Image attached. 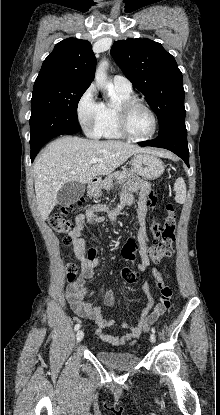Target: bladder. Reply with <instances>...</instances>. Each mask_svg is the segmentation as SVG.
<instances>
[{
    "label": "bladder",
    "instance_id": "bladder-1",
    "mask_svg": "<svg viewBox=\"0 0 220 415\" xmlns=\"http://www.w3.org/2000/svg\"><path fill=\"white\" fill-rule=\"evenodd\" d=\"M96 357L103 363L120 369H130L140 362L139 357L130 352L99 350Z\"/></svg>",
    "mask_w": 220,
    "mask_h": 415
}]
</instances>
